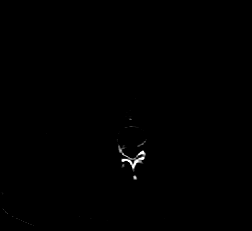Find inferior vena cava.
<instances>
[{"label": "inferior vena cava", "mask_w": 252, "mask_h": 231, "mask_svg": "<svg viewBox=\"0 0 252 231\" xmlns=\"http://www.w3.org/2000/svg\"><path fill=\"white\" fill-rule=\"evenodd\" d=\"M120 122H121V117L117 116V115L112 116L111 119H110V124L111 125H117Z\"/></svg>", "instance_id": "1"}]
</instances>
